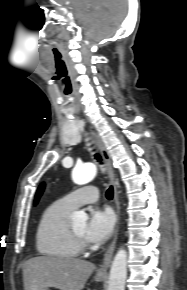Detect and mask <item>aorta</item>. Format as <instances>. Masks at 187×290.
Masks as SVG:
<instances>
[{"label":"aorta","mask_w":187,"mask_h":290,"mask_svg":"<svg viewBox=\"0 0 187 290\" xmlns=\"http://www.w3.org/2000/svg\"><path fill=\"white\" fill-rule=\"evenodd\" d=\"M97 175V168L92 163H87L74 168L72 179L77 185H84L92 181ZM75 223L85 224L88 215L84 211H76L73 214ZM127 276V252L120 248L116 253L110 269L107 290H124Z\"/></svg>","instance_id":"obj_1"}]
</instances>
